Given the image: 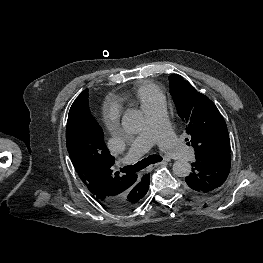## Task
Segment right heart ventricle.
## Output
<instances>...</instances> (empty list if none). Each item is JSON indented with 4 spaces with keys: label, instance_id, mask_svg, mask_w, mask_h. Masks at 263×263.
Here are the masks:
<instances>
[{
    "label": "right heart ventricle",
    "instance_id": "1",
    "mask_svg": "<svg viewBox=\"0 0 263 263\" xmlns=\"http://www.w3.org/2000/svg\"><path fill=\"white\" fill-rule=\"evenodd\" d=\"M134 97L143 107L159 98H162V93L156 84L151 82H143L136 86L134 90Z\"/></svg>",
    "mask_w": 263,
    "mask_h": 263
}]
</instances>
